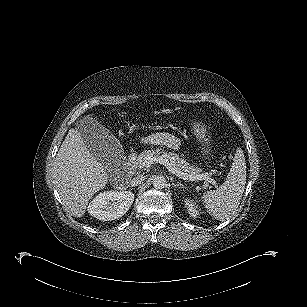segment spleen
Here are the masks:
<instances>
[{
	"mask_svg": "<svg viewBox=\"0 0 307 307\" xmlns=\"http://www.w3.org/2000/svg\"><path fill=\"white\" fill-rule=\"evenodd\" d=\"M246 184V163L244 154L238 150L226 181L217 189L203 194L207 212L218 220L234 215L240 205Z\"/></svg>",
	"mask_w": 307,
	"mask_h": 307,
	"instance_id": "1",
	"label": "spleen"
}]
</instances>
